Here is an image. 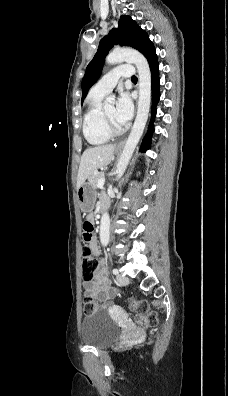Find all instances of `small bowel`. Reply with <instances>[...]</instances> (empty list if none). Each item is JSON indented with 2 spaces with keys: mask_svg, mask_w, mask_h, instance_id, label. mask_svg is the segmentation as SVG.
<instances>
[{
  "mask_svg": "<svg viewBox=\"0 0 228 396\" xmlns=\"http://www.w3.org/2000/svg\"><path fill=\"white\" fill-rule=\"evenodd\" d=\"M101 203L107 204V198L101 197L100 204ZM89 247L95 256L99 255L100 251L95 237L90 241ZM109 283L105 269L103 265H100L95 273L94 280L92 282H84L83 286L86 294L95 297L99 301L106 302L115 294V292L110 288Z\"/></svg>",
  "mask_w": 228,
  "mask_h": 396,
  "instance_id": "obj_1",
  "label": "small bowel"
}]
</instances>
